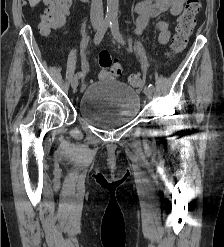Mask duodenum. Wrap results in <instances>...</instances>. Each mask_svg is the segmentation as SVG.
I'll return each mask as SVG.
<instances>
[{
	"label": "duodenum",
	"mask_w": 224,
	"mask_h": 247,
	"mask_svg": "<svg viewBox=\"0 0 224 247\" xmlns=\"http://www.w3.org/2000/svg\"><path fill=\"white\" fill-rule=\"evenodd\" d=\"M82 2H88V0H82Z\"/></svg>",
	"instance_id": "obj_1"
}]
</instances>
